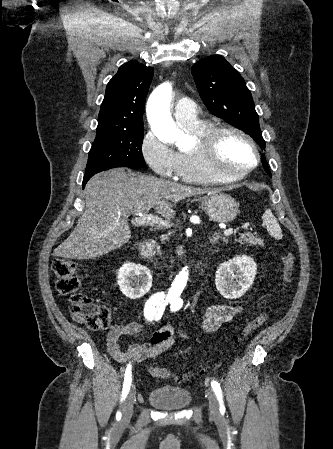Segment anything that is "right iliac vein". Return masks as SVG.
Instances as JSON below:
<instances>
[{"instance_id": "1", "label": "right iliac vein", "mask_w": 333, "mask_h": 449, "mask_svg": "<svg viewBox=\"0 0 333 449\" xmlns=\"http://www.w3.org/2000/svg\"><path fill=\"white\" fill-rule=\"evenodd\" d=\"M135 397H136V388L133 385L126 397V400L123 404L122 407V416H121V421L120 424L121 425H127L132 417L133 414V406H134V402H135Z\"/></svg>"}]
</instances>
